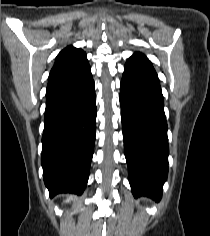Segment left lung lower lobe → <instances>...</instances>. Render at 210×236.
Here are the masks:
<instances>
[{
    "mask_svg": "<svg viewBox=\"0 0 210 236\" xmlns=\"http://www.w3.org/2000/svg\"><path fill=\"white\" fill-rule=\"evenodd\" d=\"M119 99L132 193L159 201L169 150L163 95L151 63L126 62Z\"/></svg>",
    "mask_w": 210,
    "mask_h": 236,
    "instance_id": "obj_1",
    "label": "left lung lower lobe"
}]
</instances>
